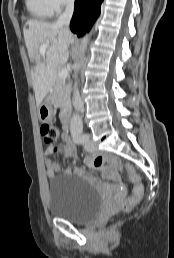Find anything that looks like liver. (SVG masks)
<instances>
[{
    "label": "liver",
    "instance_id": "liver-1",
    "mask_svg": "<svg viewBox=\"0 0 174 258\" xmlns=\"http://www.w3.org/2000/svg\"><path fill=\"white\" fill-rule=\"evenodd\" d=\"M23 33L28 55L35 63L32 80L36 105L39 107L54 86L57 68L67 63L68 48L74 42V37L63 26L37 20H28ZM45 42H49V45L45 54H41L39 50Z\"/></svg>",
    "mask_w": 174,
    "mask_h": 258
}]
</instances>
